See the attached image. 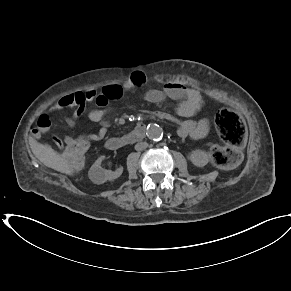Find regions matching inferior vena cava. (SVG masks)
Wrapping results in <instances>:
<instances>
[{
  "label": "inferior vena cava",
  "instance_id": "602c4592",
  "mask_svg": "<svg viewBox=\"0 0 291 291\" xmlns=\"http://www.w3.org/2000/svg\"><path fill=\"white\" fill-rule=\"evenodd\" d=\"M148 147V143L147 142H139L135 145V150L137 151H141L144 150Z\"/></svg>",
  "mask_w": 291,
  "mask_h": 291
}]
</instances>
